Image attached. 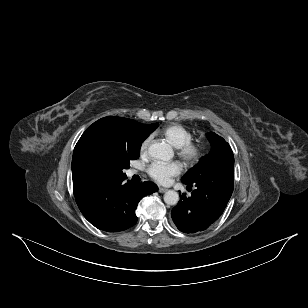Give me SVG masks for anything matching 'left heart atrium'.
<instances>
[{
	"instance_id": "39dd6f15",
	"label": "left heart atrium",
	"mask_w": 308,
	"mask_h": 308,
	"mask_svg": "<svg viewBox=\"0 0 308 308\" xmlns=\"http://www.w3.org/2000/svg\"><path fill=\"white\" fill-rule=\"evenodd\" d=\"M149 176L160 184H167L170 180L182 172V165L179 162H154L147 170Z\"/></svg>"
}]
</instances>
